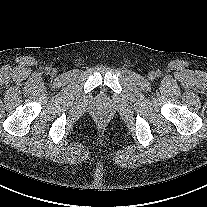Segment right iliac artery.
<instances>
[{
    "mask_svg": "<svg viewBox=\"0 0 207 207\" xmlns=\"http://www.w3.org/2000/svg\"><path fill=\"white\" fill-rule=\"evenodd\" d=\"M45 70H46L47 73L50 71L49 68H46Z\"/></svg>",
    "mask_w": 207,
    "mask_h": 207,
    "instance_id": "82829eb1",
    "label": "right iliac artery"
}]
</instances>
